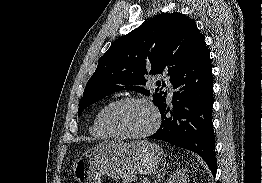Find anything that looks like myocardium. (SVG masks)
<instances>
[{"label":"myocardium","instance_id":"f54148a6","mask_svg":"<svg viewBox=\"0 0 262 183\" xmlns=\"http://www.w3.org/2000/svg\"><path fill=\"white\" fill-rule=\"evenodd\" d=\"M128 103H139V104H143L147 106L148 108H150L154 116V122H153V125L147 131L140 133V134H121L115 131L109 125V122H108L109 113L113 109L121 105L128 104ZM160 123H161V117H160V113L157 107L150 100L141 98V97H124L119 100L113 101L104 108L101 114V125L103 129L106 131L108 135H110L113 138H118V139L140 140V139L147 138L158 130Z\"/></svg>","mask_w":262,"mask_h":183}]
</instances>
